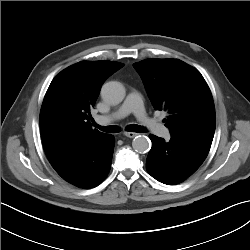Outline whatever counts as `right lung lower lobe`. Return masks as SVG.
Instances as JSON below:
<instances>
[{"label":"right lung lower lobe","instance_id":"obj_1","mask_svg":"<svg viewBox=\"0 0 250 250\" xmlns=\"http://www.w3.org/2000/svg\"><path fill=\"white\" fill-rule=\"evenodd\" d=\"M114 144V137L104 134L52 166L65 181L79 188L90 189L100 184L108 174Z\"/></svg>","mask_w":250,"mask_h":250}]
</instances>
